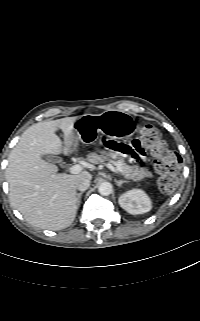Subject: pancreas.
<instances>
[{
  "mask_svg": "<svg viewBox=\"0 0 200 321\" xmlns=\"http://www.w3.org/2000/svg\"><path fill=\"white\" fill-rule=\"evenodd\" d=\"M87 160L92 164H101L104 162L114 165L126 178L139 180L144 177H151L152 174L147 168H139L138 166L127 165L123 159L111 156L109 154H89Z\"/></svg>",
  "mask_w": 200,
  "mask_h": 321,
  "instance_id": "pancreas-1",
  "label": "pancreas"
}]
</instances>
